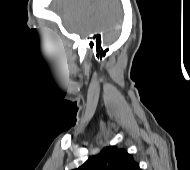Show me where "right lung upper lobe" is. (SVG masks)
Instances as JSON below:
<instances>
[{"mask_svg":"<svg viewBox=\"0 0 190 170\" xmlns=\"http://www.w3.org/2000/svg\"><path fill=\"white\" fill-rule=\"evenodd\" d=\"M74 170H141L133 156L116 146L104 147L95 156Z\"/></svg>","mask_w":190,"mask_h":170,"instance_id":"cb5924a9","label":"right lung upper lobe"}]
</instances>
